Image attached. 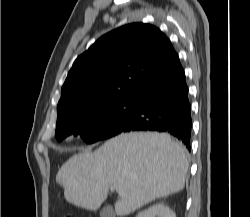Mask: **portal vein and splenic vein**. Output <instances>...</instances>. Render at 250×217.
<instances>
[{"label":"portal vein and splenic vein","instance_id":"portal-vein-and-splenic-vein-1","mask_svg":"<svg viewBox=\"0 0 250 217\" xmlns=\"http://www.w3.org/2000/svg\"><path fill=\"white\" fill-rule=\"evenodd\" d=\"M110 190L113 192L115 190V188L112 186V187H110Z\"/></svg>","mask_w":250,"mask_h":217}]
</instances>
